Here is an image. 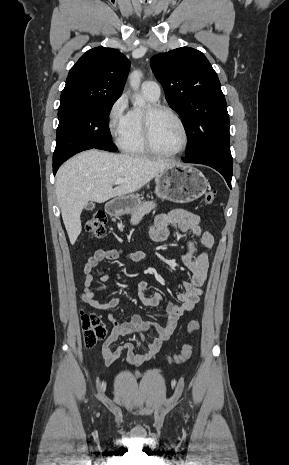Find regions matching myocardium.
Returning a JSON list of instances; mask_svg holds the SVG:
<instances>
[{
    "instance_id": "f54148a6",
    "label": "myocardium",
    "mask_w": 289,
    "mask_h": 465,
    "mask_svg": "<svg viewBox=\"0 0 289 465\" xmlns=\"http://www.w3.org/2000/svg\"><path fill=\"white\" fill-rule=\"evenodd\" d=\"M159 113H168L171 116H173L176 121L179 123L182 132H183V144L181 148L175 152L171 153H165L160 150H158L153 142V137H152V119L156 114ZM142 131H143V141L146 149L148 152L152 155H155L157 157L161 158H174L182 153H184L189 145V131L188 128L182 119V117L171 107L166 106V105H160V104H153L151 105L148 109H146L143 112V117H142Z\"/></svg>"
}]
</instances>
